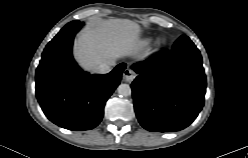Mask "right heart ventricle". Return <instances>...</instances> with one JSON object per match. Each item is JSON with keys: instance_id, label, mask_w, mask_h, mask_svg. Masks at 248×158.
<instances>
[{"instance_id": "obj_1", "label": "right heart ventricle", "mask_w": 248, "mask_h": 158, "mask_svg": "<svg viewBox=\"0 0 248 158\" xmlns=\"http://www.w3.org/2000/svg\"><path fill=\"white\" fill-rule=\"evenodd\" d=\"M149 41L148 40H145L144 43L147 44Z\"/></svg>"}]
</instances>
